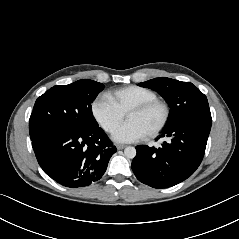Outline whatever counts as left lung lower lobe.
<instances>
[{"label":"left lung lower lobe","mask_w":239,"mask_h":239,"mask_svg":"<svg viewBox=\"0 0 239 239\" xmlns=\"http://www.w3.org/2000/svg\"><path fill=\"white\" fill-rule=\"evenodd\" d=\"M212 120L194 118L166 126L160 137H169L156 149L137 146L132 170L139 181L154 188L174 186L190 177L200 165Z\"/></svg>","instance_id":"0a47b994"}]
</instances>
